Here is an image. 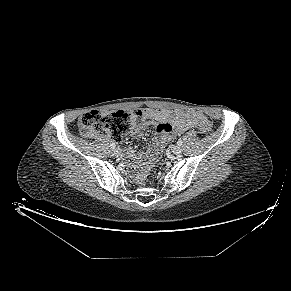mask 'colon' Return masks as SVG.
<instances>
[{
	"label": "colon",
	"mask_w": 291,
	"mask_h": 291,
	"mask_svg": "<svg viewBox=\"0 0 291 291\" xmlns=\"http://www.w3.org/2000/svg\"><path fill=\"white\" fill-rule=\"evenodd\" d=\"M143 122L141 110H118L102 112L92 110L84 113L79 120L81 131L88 137L108 135L114 141L120 142L123 135L137 129ZM212 128L210 120L203 118L199 129L208 133Z\"/></svg>",
	"instance_id": "obj_1"
}]
</instances>
